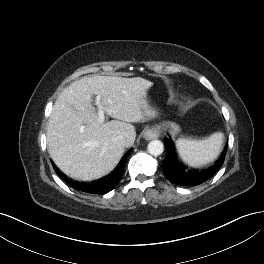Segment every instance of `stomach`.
<instances>
[{
    "instance_id": "stomach-1",
    "label": "stomach",
    "mask_w": 264,
    "mask_h": 264,
    "mask_svg": "<svg viewBox=\"0 0 264 264\" xmlns=\"http://www.w3.org/2000/svg\"><path fill=\"white\" fill-rule=\"evenodd\" d=\"M145 98L147 100L146 96H145ZM160 128L163 130H168L172 135H176L181 130V128L178 124L171 122V121L164 122L163 124H161Z\"/></svg>"
}]
</instances>
